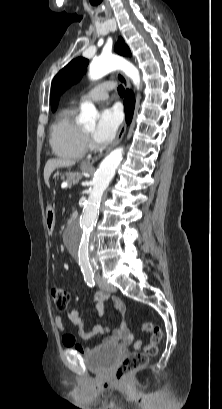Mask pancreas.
<instances>
[{
	"label": "pancreas",
	"instance_id": "cf45deb5",
	"mask_svg": "<svg viewBox=\"0 0 222 409\" xmlns=\"http://www.w3.org/2000/svg\"><path fill=\"white\" fill-rule=\"evenodd\" d=\"M81 179L80 175H72V174H68L66 176L65 182L68 183V186L70 187L72 184L78 182Z\"/></svg>",
	"mask_w": 222,
	"mask_h": 409
}]
</instances>
